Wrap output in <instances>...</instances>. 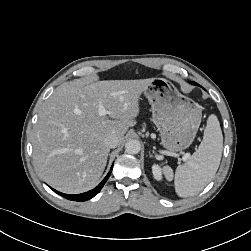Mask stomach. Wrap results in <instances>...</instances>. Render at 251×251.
<instances>
[{
    "mask_svg": "<svg viewBox=\"0 0 251 251\" xmlns=\"http://www.w3.org/2000/svg\"><path fill=\"white\" fill-rule=\"evenodd\" d=\"M143 94L151 104L153 122L163 147L173 152L188 148L201 123L200 106L164 78H154Z\"/></svg>",
    "mask_w": 251,
    "mask_h": 251,
    "instance_id": "0dacf381",
    "label": "stomach"
}]
</instances>
